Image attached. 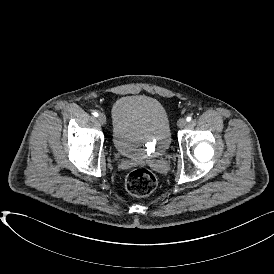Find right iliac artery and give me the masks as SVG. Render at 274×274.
I'll return each mask as SVG.
<instances>
[{"label": "right iliac artery", "instance_id": "1", "mask_svg": "<svg viewBox=\"0 0 274 274\" xmlns=\"http://www.w3.org/2000/svg\"><path fill=\"white\" fill-rule=\"evenodd\" d=\"M93 115L95 116V117H97L99 114H98V112H93Z\"/></svg>", "mask_w": 274, "mask_h": 274}]
</instances>
